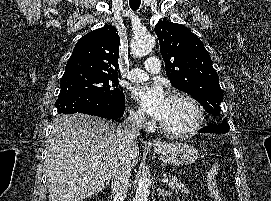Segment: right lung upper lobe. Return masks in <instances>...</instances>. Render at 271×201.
Instances as JSON below:
<instances>
[{
    "instance_id": "cb5924a9",
    "label": "right lung upper lobe",
    "mask_w": 271,
    "mask_h": 201,
    "mask_svg": "<svg viewBox=\"0 0 271 201\" xmlns=\"http://www.w3.org/2000/svg\"><path fill=\"white\" fill-rule=\"evenodd\" d=\"M120 38L112 25L83 36L75 45L65 71L86 70L117 75Z\"/></svg>"
}]
</instances>
